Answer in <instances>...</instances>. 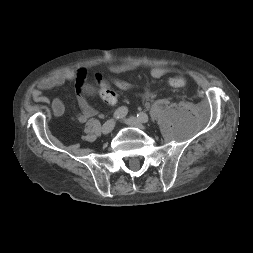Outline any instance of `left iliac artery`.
<instances>
[{
    "mask_svg": "<svg viewBox=\"0 0 253 253\" xmlns=\"http://www.w3.org/2000/svg\"><path fill=\"white\" fill-rule=\"evenodd\" d=\"M147 114L146 113H143V112H139L138 114H137V118L139 119V120H141L143 123H146V122H148L147 121Z\"/></svg>",
    "mask_w": 253,
    "mask_h": 253,
    "instance_id": "obj_1",
    "label": "left iliac artery"
}]
</instances>
